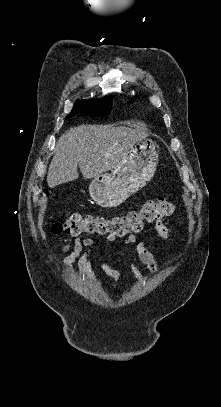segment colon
<instances>
[{"label": "colon", "mask_w": 221, "mask_h": 407, "mask_svg": "<svg viewBox=\"0 0 221 407\" xmlns=\"http://www.w3.org/2000/svg\"><path fill=\"white\" fill-rule=\"evenodd\" d=\"M172 211L173 201L159 198L147 202L139 211H130L111 218L103 216L83 217L80 214H73L64 222L55 223L51 231L54 234L64 232L73 237L83 233L122 237L128 234L140 233L145 223L159 220L171 214Z\"/></svg>", "instance_id": "colon-1"}]
</instances>
